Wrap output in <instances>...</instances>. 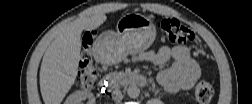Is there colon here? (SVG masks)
<instances>
[{
    "label": "colon",
    "mask_w": 252,
    "mask_h": 104,
    "mask_svg": "<svg viewBox=\"0 0 252 104\" xmlns=\"http://www.w3.org/2000/svg\"><path fill=\"white\" fill-rule=\"evenodd\" d=\"M158 27L164 33L165 39L171 43H188L195 38L192 30L174 18L160 20ZM93 38L94 36L91 32H86L83 36L81 64L76 79V85L81 89L91 87L97 77V71L90 51ZM194 92L199 103L210 102L214 94L212 85L206 80H200L196 84Z\"/></svg>",
    "instance_id": "5ec220e1"
}]
</instances>
